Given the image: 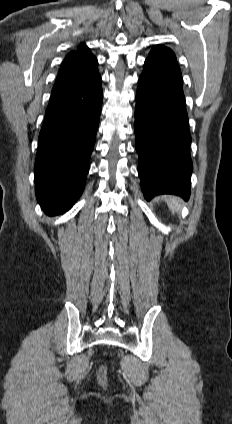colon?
Here are the masks:
<instances>
[{"mask_svg":"<svg viewBox=\"0 0 232 424\" xmlns=\"http://www.w3.org/2000/svg\"><path fill=\"white\" fill-rule=\"evenodd\" d=\"M98 380L101 384H105L107 380V373L105 368H101L98 372Z\"/></svg>","mask_w":232,"mask_h":424,"instance_id":"5ec220e1","label":"colon"}]
</instances>
